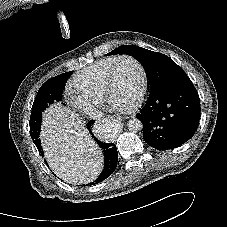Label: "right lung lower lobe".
Wrapping results in <instances>:
<instances>
[{"label":"right lung lower lobe","instance_id":"obj_1","mask_svg":"<svg viewBox=\"0 0 227 227\" xmlns=\"http://www.w3.org/2000/svg\"><path fill=\"white\" fill-rule=\"evenodd\" d=\"M94 122H95L94 120H90L87 124V127L90 131H91L90 126H92ZM94 139L97 140L95 137ZM97 142L99 146L104 150L105 164H104V170L99 176V178L96 180V183L101 182L105 180L108 176H110L114 172L115 168L117 167V161H118V152L116 149V145H114L113 143H103L99 140Z\"/></svg>","mask_w":227,"mask_h":227}]
</instances>
